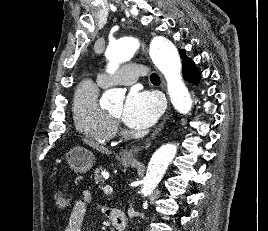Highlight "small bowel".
I'll return each instance as SVG.
<instances>
[{"label":"small bowel","mask_w":268,"mask_h":231,"mask_svg":"<svg viewBox=\"0 0 268 231\" xmlns=\"http://www.w3.org/2000/svg\"><path fill=\"white\" fill-rule=\"evenodd\" d=\"M89 195L86 193L81 200H77L72 207L71 214L69 216L67 224L62 228V231H82V224L90 205ZM112 210L106 211V214L110 216Z\"/></svg>","instance_id":"1"}]
</instances>
